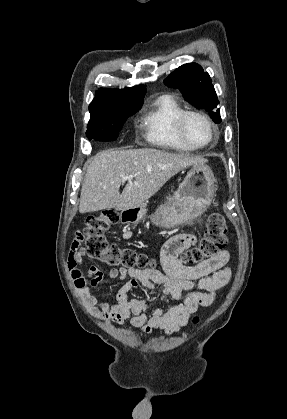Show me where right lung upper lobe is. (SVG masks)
I'll use <instances>...</instances> for the list:
<instances>
[{"label":"right lung upper lobe","instance_id":"1","mask_svg":"<svg viewBox=\"0 0 287 419\" xmlns=\"http://www.w3.org/2000/svg\"><path fill=\"white\" fill-rule=\"evenodd\" d=\"M146 93L144 85L123 90L99 89L89 105L90 114L104 110L142 106Z\"/></svg>","mask_w":287,"mask_h":419}]
</instances>
